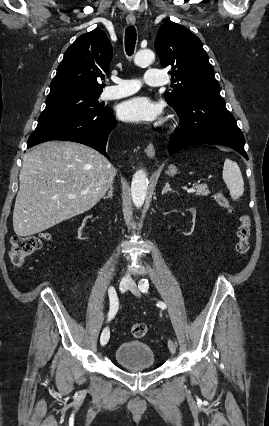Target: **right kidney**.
I'll use <instances>...</instances> for the list:
<instances>
[{
  "instance_id": "1",
  "label": "right kidney",
  "mask_w": 269,
  "mask_h": 426,
  "mask_svg": "<svg viewBox=\"0 0 269 426\" xmlns=\"http://www.w3.org/2000/svg\"><path fill=\"white\" fill-rule=\"evenodd\" d=\"M90 219H91L90 216H85V219L83 220V223H82L81 227L78 230V239H80V240L87 239V237H82V229L85 226V222L86 221H90Z\"/></svg>"
}]
</instances>
